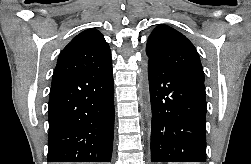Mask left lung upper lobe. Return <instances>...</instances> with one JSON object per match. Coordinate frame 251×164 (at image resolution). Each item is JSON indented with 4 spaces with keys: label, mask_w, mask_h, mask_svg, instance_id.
Masks as SVG:
<instances>
[{
    "label": "left lung upper lobe",
    "mask_w": 251,
    "mask_h": 164,
    "mask_svg": "<svg viewBox=\"0 0 251 164\" xmlns=\"http://www.w3.org/2000/svg\"><path fill=\"white\" fill-rule=\"evenodd\" d=\"M146 54L148 62L177 69L204 80L203 68L193 44L167 25H159L153 30L147 41Z\"/></svg>",
    "instance_id": "5c2ea615"
}]
</instances>
